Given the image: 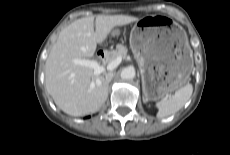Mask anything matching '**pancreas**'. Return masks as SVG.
<instances>
[{
	"mask_svg": "<svg viewBox=\"0 0 230 155\" xmlns=\"http://www.w3.org/2000/svg\"><path fill=\"white\" fill-rule=\"evenodd\" d=\"M127 54V48L122 44H118L115 50L108 51L106 53V62H110L118 56L124 57Z\"/></svg>",
	"mask_w": 230,
	"mask_h": 155,
	"instance_id": "1",
	"label": "pancreas"
}]
</instances>
